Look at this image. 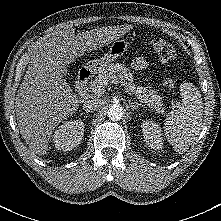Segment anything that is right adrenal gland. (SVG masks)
Segmentation results:
<instances>
[{"mask_svg": "<svg viewBox=\"0 0 221 221\" xmlns=\"http://www.w3.org/2000/svg\"><path fill=\"white\" fill-rule=\"evenodd\" d=\"M83 114H87V113H86V112H83L82 115H83Z\"/></svg>", "mask_w": 221, "mask_h": 221, "instance_id": "right-adrenal-gland-1", "label": "right adrenal gland"}]
</instances>
